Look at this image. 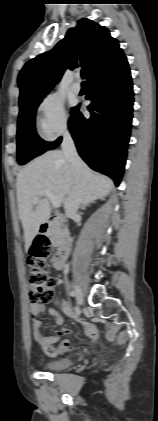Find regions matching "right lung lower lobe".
Wrapping results in <instances>:
<instances>
[{
	"instance_id": "obj_1",
	"label": "right lung lower lobe",
	"mask_w": 158,
	"mask_h": 421,
	"mask_svg": "<svg viewBox=\"0 0 158 421\" xmlns=\"http://www.w3.org/2000/svg\"><path fill=\"white\" fill-rule=\"evenodd\" d=\"M88 85L91 117L84 118L79 106L73 108L69 130L82 159L118 186L124 172L133 111L132 81L124 53L92 75ZM60 143L61 138L50 143L47 150Z\"/></svg>"
}]
</instances>
